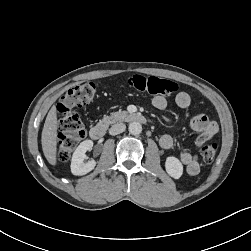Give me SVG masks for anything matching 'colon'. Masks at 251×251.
<instances>
[{
    "label": "colon",
    "mask_w": 251,
    "mask_h": 251,
    "mask_svg": "<svg viewBox=\"0 0 251 251\" xmlns=\"http://www.w3.org/2000/svg\"><path fill=\"white\" fill-rule=\"evenodd\" d=\"M127 85L139 92L168 96L173 94L178 86L175 82L154 76L134 75L127 79ZM96 86L93 82H83L69 88L61 97L57 110L59 113L58 160L67 162L74 149L84 137L85 130L77 108L89 104L95 96ZM215 142L208 143L201 148L204 162L211 163L217 153Z\"/></svg>",
    "instance_id": "obj_1"
}]
</instances>
